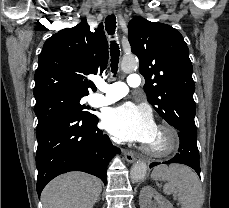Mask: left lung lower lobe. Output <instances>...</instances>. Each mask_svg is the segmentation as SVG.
<instances>
[{"instance_id": "left-lung-lower-lobe-1", "label": "left lung lower lobe", "mask_w": 229, "mask_h": 208, "mask_svg": "<svg viewBox=\"0 0 229 208\" xmlns=\"http://www.w3.org/2000/svg\"><path fill=\"white\" fill-rule=\"evenodd\" d=\"M180 139L179 153L171 160L162 162L168 163H181L193 168L200 177V162L199 151L197 148V130L185 129L184 132H178ZM160 163H151L150 168Z\"/></svg>"}]
</instances>
